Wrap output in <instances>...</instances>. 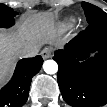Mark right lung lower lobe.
Segmentation results:
<instances>
[{
	"label": "right lung lower lobe",
	"instance_id": "right-lung-lower-lobe-1",
	"mask_svg": "<svg viewBox=\"0 0 107 107\" xmlns=\"http://www.w3.org/2000/svg\"><path fill=\"white\" fill-rule=\"evenodd\" d=\"M42 63L39 55L18 62L11 81L0 90V107H20L26 103L32 77L39 72Z\"/></svg>",
	"mask_w": 107,
	"mask_h": 107
}]
</instances>
